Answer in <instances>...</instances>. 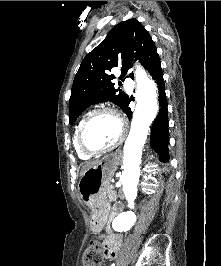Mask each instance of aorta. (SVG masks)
<instances>
[{"mask_svg": "<svg viewBox=\"0 0 221 266\" xmlns=\"http://www.w3.org/2000/svg\"><path fill=\"white\" fill-rule=\"evenodd\" d=\"M137 105L133 114L128 138L124 144L123 173L120 181L128 206L133 207L137 197V185L140 176L142 149L147 139L149 127L158 112L157 86L149 79L146 71L137 66ZM135 214L127 211L120 213L113 221V229L125 231L135 222Z\"/></svg>", "mask_w": 221, "mask_h": 266, "instance_id": "1", "label": "aorta"}]
</instances>
